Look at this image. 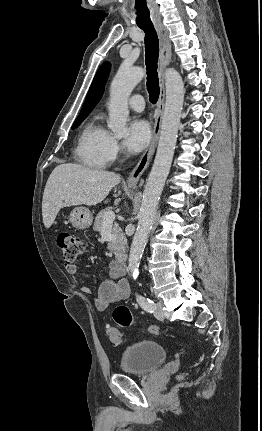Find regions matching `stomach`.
<instances>
[{"label":"stomach","instance_id":"1","mask_svg":"<svg viewBox=\"0 0 262 431\" xmlns=\"http://www.w3.org/2000/svg\"><path fill=\"white\" fill-rule=\"evenodd\" d=\"M69 220L75 228L83 230L91 226L93 217L88 208L76 207L71 211Z\"/></svg>","mask_w":262,"mask_h":431}]
</instances>
